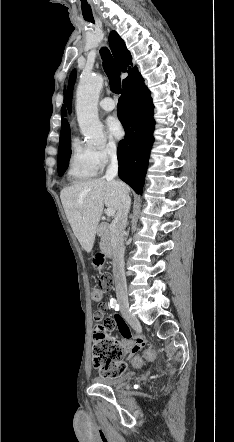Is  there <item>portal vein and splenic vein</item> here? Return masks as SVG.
<instances>
[{
  "label": "portal vein and splenic vein",
  "mask_w": 234,
  "mask_h": 442,
  "mask_svg": "<svg viewBox=\"0 0 234 442\" xmlns=\"http://www.w3.org/2000/svg\"><path fill=\"white\" fill-rule=\"evenodd\" d=\"M105 213L108 217L114 216L115 215V210L113 208H107L105 210Z\"/></svg>",
  "instance_id": "obj_1"
}]
</instances>
